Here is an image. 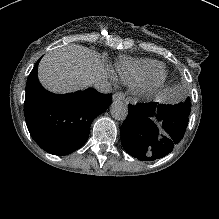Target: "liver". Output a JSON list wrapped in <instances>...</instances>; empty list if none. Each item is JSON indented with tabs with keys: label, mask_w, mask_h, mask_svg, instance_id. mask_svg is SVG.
Masks as SVG:
<instances>
[{
	"label": "liver",
	"mask_w": 219,
	"mask_h": 219,
	"mask_svg": "<svg viewBox=\"0 0 219 219\" xmlns=\"http://www.w3.org/2000/svg\"><path fill=\"white\" fill-rule=\"evenodd\" d=\"M42 85L57 93L84 89L101 78L97 56L86 48L66 47L47 54L38 67Z\"/></svg>",
	"instance_id": "liver-1"
}]
</instances>
